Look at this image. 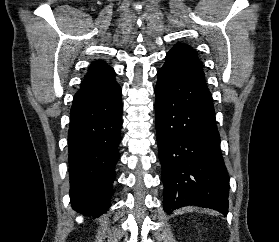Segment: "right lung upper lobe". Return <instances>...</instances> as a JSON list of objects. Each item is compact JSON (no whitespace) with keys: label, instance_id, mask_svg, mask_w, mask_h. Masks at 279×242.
Wrapping results in <instances>:
<instances>
[{"label":"right lung upper lobe","instance_id":"cb5924a9","mask_svg":"<svg viewBox=\"0 0 279 242\" xmlns=\"http://www.w3.org/2000/svg\"><path fill=\"white\" fill-rule=\"evenodd\" d=\"M114 77V70L104 61L94 62L89 67L88 73L81 83V88L74 96V100L93 97L108 91L118 85Z\"/></svg>","mask_w":279,"mask_h":242}]
</instances>
